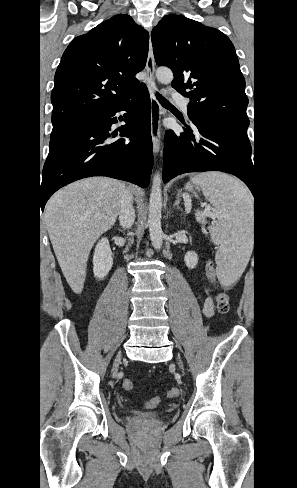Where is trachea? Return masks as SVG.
<instances>
[{"instance_id":"obj_1","label":"trachea","mask_w":297,"mask_h":488,"mask_svg":"<svg viewBox=\"0 0 297 488\" xmlns=\"http://www.w3.org/2000/svg\"><path fill=\"white\" fill-rule=\"evenodd\" d=\"M158 101L165 107H172V105L160 94H156Z\"/></svg>"}]
</instances>
